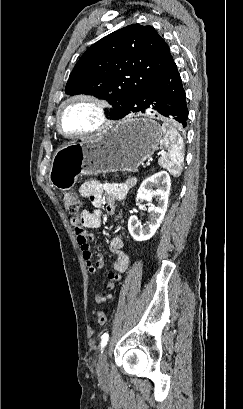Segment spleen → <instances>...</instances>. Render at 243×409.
<instances>
[{
  "label": "spleen",
  "mask_w": 243,
  "mask_h": 409,
  "mask_svg": "<svg viewBox=\"0 0 243 409\" xmlns=\"http://www.w3.org/2000/svg\"><path fill=\"white\" fill-rule=\"evenodd\" d=\"M162 131L164 136L160 141V145L166 151L162 153L158 163L173 176L178 177L181 175L182 163L184 161L183 138L168 122L162 124Z\"/></svg>",
  "instance_id": "3e777b00"
}]
</instances>
